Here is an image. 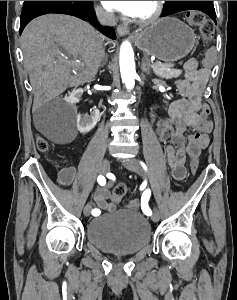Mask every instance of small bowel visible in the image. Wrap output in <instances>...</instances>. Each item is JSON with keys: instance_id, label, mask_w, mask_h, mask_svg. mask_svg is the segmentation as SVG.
Segmentation results:
<instances>
[{"instance_id": "small-bowel-1", "label": "small bowel", "mask_w": 237, "mask_h": 300, "mask_svg": "<svg viewBox=\"0 0 237 300\" xmlns=\"http://www.w3.org/2000/svg\"><path fill=\"white\" fill-rule=\"evenodd\" d=\"M183 80L175 82L182 99L173 101L168 106V117L160 119L155 127V133L160 142L167 143L165 152L168 165L175 180H183L186 175L187 157H198L200 151L209 143V134L213 130L210 120V108L204 101V92L211 76L208 66L199 67L195 59L187 60L183 66ZM195 132L185 136L187 129ZM62 186L74 185L77 188H90L91 180L79 178L74 167H64L57 175ZM112 182L98 187L92 199V204L98 210L112 212L116 209V201L110 194ZM131 206L138 207V201H132Z\"/></svg>"}]
</instances>
